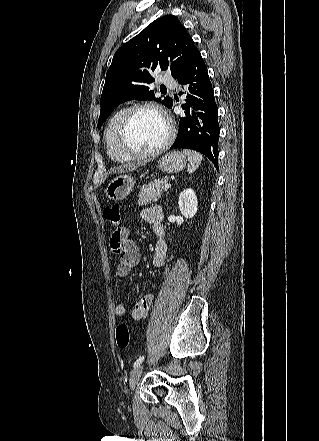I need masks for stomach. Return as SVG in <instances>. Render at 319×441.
<instances>
[{"label": "stomach", "mask_w": 319, "mask_h": 441, "mask_svg": "<svg viewBox=\"0 0 319 441\" xmlns=\"http://www.w3.org/2000/svg\"><path fill=\"white\" fill-rule=\"evenodd\" d=\"M187 159L179 151H171L164 155L158 162L161 171L176 173L184 169ZM135 181L129 174L121 173L114 177L106 186L105 195L113 201L122 200L133 190Z\"/></svg>", "instance_id": "0dacf381"}]
</instances>
